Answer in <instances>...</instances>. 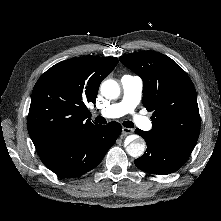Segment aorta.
<instances>
[{
    "mask_svg": "<svg viewBox=\"0 0 221 221\" xmlns=\"http://www.w3.org/2000/svg\"><path fill=\"white\" fill-rule=\"evenodd\" d=\"M100 91L102 96L109 100H115L120 95V85L113 79H108L101 84ZM127 153L135 158L143 155L145 151V143L142 139L132 140L126 147Z\"/></svg>",
    "mask_w": 221,
    "mask_h": 221,
    "instance_id": "1",
    "label": "aorta"
}]
</instances>
